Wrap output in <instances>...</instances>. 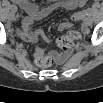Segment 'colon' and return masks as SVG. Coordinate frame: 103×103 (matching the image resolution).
<instances>
[{"instance_id":"1","label":"colon","mask_w":103,"mask_h":103,"mask_svg":"<svg viewBox=\"0 0 103 103\" xmlns=\"http://www.w3.org/2000/svg\"><path fill=\"white\" fill-rule=\"evenodd\" d=\"M79 34L76 31H70L67 34L59 37L55 41V45L63 51V53H67L73 47L74 42L78 39ZM54 61L60 62V55L56 56L53 54H43L37 57L36 64L41 68H49L53 65Z\"/></svg>"}]
</instances>
